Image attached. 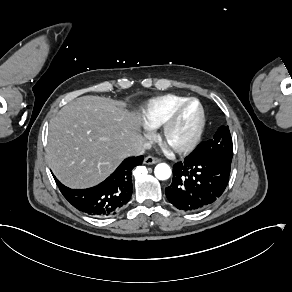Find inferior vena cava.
Instances as JSON below:
<instances>
[{"label":"inferior vena cava","instance_id":"obj_1","mask_svg":"<svg viewBox=\"0 0 292 292\" xmlns=\"http://www.w3.org/2000/svg\"><path fill=\"white\" fill-rule=\"evenodd\" d=\"M152 147L151 142L144 141L140 147L133 149L128 156H139L144 154L145 150L150 149Z\"/></svg>","mask_w":292,"mask_h":292}]
</instances>
